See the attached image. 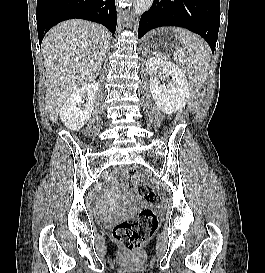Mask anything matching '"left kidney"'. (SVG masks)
<instances>
[{"instance_id":"5707ae66","label":"left kidney","mask_w":265,"mask_h":273,"mask_svg":"<svg viewBox=\"0 0 265 273\" xmlns=\"http://www.w3.org/2000/svg\"><path fill=\"white\" fill-rule=\"evenodd\" d=\"M163 68L165 76L172 81L160 85L156 75L158 69ZM146 71L150 75V92L157 107L165 114L181 110L189 97V84L184 72L178 65L164 61L161 58L150 57L146 62Z\"/></svg>"}]
</instances>
